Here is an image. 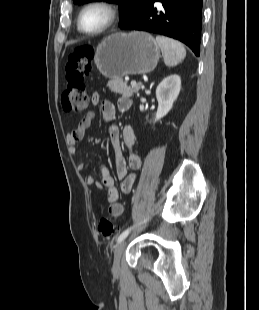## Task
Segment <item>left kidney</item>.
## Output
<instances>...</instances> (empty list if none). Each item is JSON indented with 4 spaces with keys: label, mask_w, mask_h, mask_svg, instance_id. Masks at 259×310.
<instances>
[{
    "label": "left kidney",
    "mask_w": 259,
    "mask_h": 310,
    "mask_svg": "<svg viewBox=\"0 0 259 310\" xmlns=\"http://www.w3.org/2000/svg\"><path fill=\"white\" fill-rule=\"evenodd\" d=\"M181 90V78L177 74L170 75L163 79L156 89L158 109L155 121L160 120L171 110L174 101L177 99Z\"/></svg>",
    "instance_id": "1"
}]
</instances>
